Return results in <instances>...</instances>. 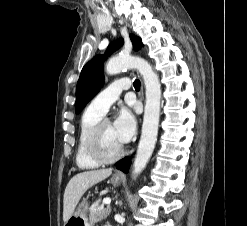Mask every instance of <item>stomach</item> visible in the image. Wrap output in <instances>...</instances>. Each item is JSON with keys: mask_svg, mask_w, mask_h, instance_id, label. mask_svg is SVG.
Masks as SVG:
<instances>
[{"mask_svg": "<svg viewBox=\"0 0 247 226\" xmlns=\"http://www.w3.org/2000/svg\"><path fill=\"white\" fill-rule=\"evenodd\" d=\"M111 183L117 186L121 183V178L113 176ZM88 203L86 199L79 204L77 210L71 215L64 226H91L92 223L87 218Z\"/></svg>", "mask_w": 247, "mask_h": 226, "instance_id": "0dacf381", "label": "stomach"}]
</instances>
